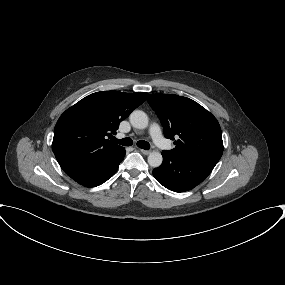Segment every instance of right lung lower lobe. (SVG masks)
Masks as SVG:
<instances>
[{
	"label": "right lung lower lobe",
	"mask_w": 285,
	"mask_h": 285,
	"mask_svg": "<svg viewBox=\"0 0 285 285\" xmlns=\"http://www.w3.org/2000/svg\"><path fill=\"white\" fill-rule=\"evenodd\" d=\"M124 156L123 148L120 151L93 158L77 153L56 159L62 170L77 183L86 187H95L114 175Z\"/></svg>",
	"instance_id": "1"
}]
</instances>
